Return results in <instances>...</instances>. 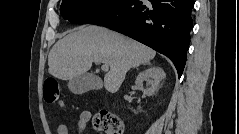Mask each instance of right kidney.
Listing matches in <instances>:
<instances>
[{
	"label": "right kidney",
	"instance_id": "right-kidney-1",
	"mask_svg": "<svg viewBox=\"0 0 239 134\" xmlns=\"http://www.w3.org/2000/svg\"><path fill=\"white\" fill-rule=\"evenodd\" d=\"M165 72L158 67H150L149 69L140 72L136 77L135 83L147 96H151L157 91L161 80L165 78ZM147 82V88H143V82Z\"/></svg>",
	"mask_w": 239,
	"mask_h": 134
}]
</instances>
